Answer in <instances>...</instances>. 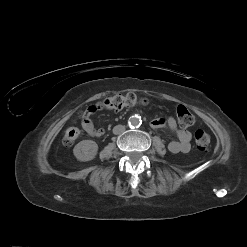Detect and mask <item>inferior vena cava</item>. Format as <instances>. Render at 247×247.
Listing matches in <instances>:
<instances>
[{"instance_id": "602c4592", "label": "inferior vena cava", "mask_w": 247, "mask_h": 247, "mask_svg": "<svg viewBox=\"0 0 247 247\" xmlns=\"http://www.w3.org/2000/svg\"><path fill=\"white\" fill-rule=\"evenodd\" d=\"M125 131V126L123 125H116L113 128V133L116 135L122 134Z\"/></svg>"}]
</instances>
